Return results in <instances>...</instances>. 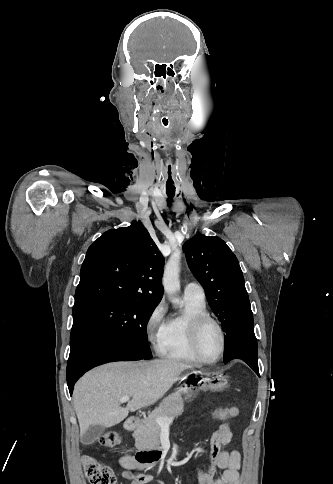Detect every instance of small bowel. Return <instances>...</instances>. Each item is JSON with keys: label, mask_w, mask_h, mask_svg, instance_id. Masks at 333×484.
Listing matches in <instances>:
<instances>
[{"label": "small bowel", "mask_w": 333, "mask_h": 484, "mask_svg": "<svg viewBox=\"0 0 333 484\" xmlns=\"http://www.w3.org/2000/svg\"><path fill=\"white\" fill-rule=\"evenodd\" d=\"M228 418L239 415L237 407H229ZM232 431L227 423H222L211 435L210 440V463L207 467L198 468L199 484H239V469L241 463L238 451H227L226 447L231 442ZM220 471L218 477L216 472ZM122 476L131 484H145L153 477L148 474L134 475L129 471H122Z\"/></svg>", "instance_id": "1"}]
</instances>
